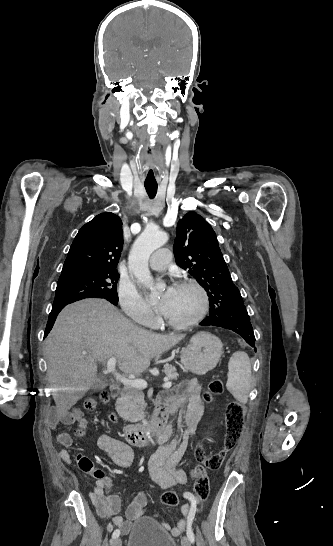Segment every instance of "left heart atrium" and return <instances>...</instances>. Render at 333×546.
<instances>
[{
  "label": "left heart atrium",
  "instance_id": "1",
  "mask_svg": "<svg viewBox=\"0 0 333 546\" xmlns=\"http://www.w3.org/2000/svg\"><path fill=\"white\" fill-rule=\"evenodd\" d=\"M173 292H174V288H173V287H169V288L167 289V291L165 292V294H164V296H163L161 302L159 303L158 308H159V310H160L162 313H164V314H165L166 311H167L168 304H169V300H170V298H171Z\"/></svg>",
  "mask_w": 333,
  "mask_h": 546
}]
</instances>
